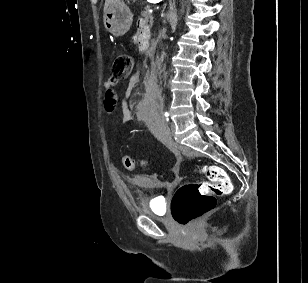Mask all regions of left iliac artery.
<instances>
[{"label":"left iliac artery","mask_w":308,"mask_h":283,"mask_svg":"<svg viewBox=\"0 0 308 283\" xmlns=\"http://www.w3.org/2000/svg\"><path fill=\"white\" fill-rule=\"evenodd\" d=\"M169 114L167 112L164 113L163 115V119L164 121L168 122L169 121V118H168Z\"/></svg>","instance_id":"1"}]
</instances>
